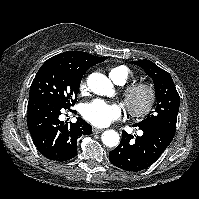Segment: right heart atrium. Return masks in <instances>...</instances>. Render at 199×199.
Returning a JSON list of instances; mask_svg holds the SVG:
<instances>
[{"instance_id":"right-heart-atrium-1","label":"right heart atrium","mask_w":199,"mask_h":199,"mask_svg":"<svg viewBox=\"0 0 199 199\" xmlns=\"http://www.w3.org/2000/svg\"><path fill=\"white\" fill-rule=\"evenodd\" d=\"M86 88H87L86 81L83 80V81L80 83V85H79V90H80L81 92H84V91L86 90Z\"/></svg>"}]
</instances>
